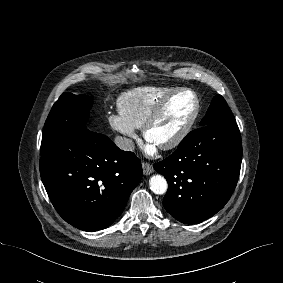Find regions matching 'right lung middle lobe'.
<instances>
[{
	"label": "right lung middle lobe",
	"mask_w": 283,
	"mask_h": 283,
	"mask_svg": "<svg viewBox=\"0 0 283 283\" xmlns=\"http://www.w3.org/2000/svg\"><path fill=\"white\" fill-rule=\"evenodd\" d=\"M93 101L87 95L63 93L54 103L44 125L41 157L59 149L79 128L85 127Z\"/></svg>",
	"instance_id": "dd1d6c3e"
}]
</instances>
